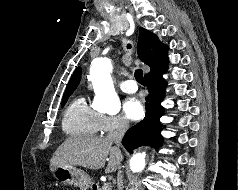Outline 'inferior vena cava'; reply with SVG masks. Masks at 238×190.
Instances as JSON below:
<instances>
[{
	"instance_id": "602c4592",
	"label": "inferior vena cava",
	"mask_w": 238,
	"mask_h": 190,
	"mask_svg": "<svg viewBox=\"0 0 238 190\" xmlns=\"http://www.w3.org/2000/svg\"><path fill=\"white\" fill-rule=\"evenodd\" d=\"M129 127V122L126 118H121L118 124V127L115 131L111 132L108 134L107 138L114 142L118 147L121 143V140L125 134V132L127 131ZM117 184H118V190H122L123 187V181H122V175L119 174L118 175V180H117Z\"/></svg>"
}]
</instances>
